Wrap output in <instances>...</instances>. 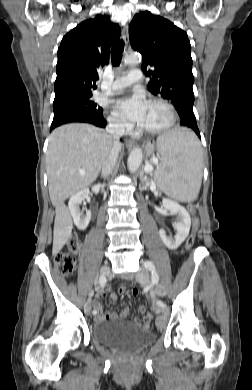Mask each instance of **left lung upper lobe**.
Here are the masks:
<instances>
[{
    "mask_svg": "<svg viewBox=\"0 0 252 390\" xmlns=\"http://www.w3.org/2000/svg\"><path fill=\"white\" fill-rule=\"evenodd\" d=\"M129 38L132 48L142 54L149 91L170 100L177 112L184 106L193 110L194 76L187 34L167 19L144 11L134 16Z\"/></svg>",
    "mask_w": 252,
    "mask_h": 390,
    "instance_id": "obj_1",
    "label": "left lung upper lobe"
}]
</instances>
